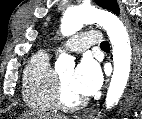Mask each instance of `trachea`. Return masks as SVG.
Returning <instances> with one entry per match:
<instances>
[{
	"label": "trachea",
	"instance_id": "trachea-1",
	"mask_svg": "<svg viewBox=\"0 0 142 119\" xmlns=\"http://www.w3.org/2000/svg\"><path fill=\"white\" fill-rule=\"evenodd\" d=\"M100 48L105 49V48H110V44L108 41H103L100 45Z\"/></svg>",
	"mask_w": 142,
	"mask_h": 119
}]
</instances>
